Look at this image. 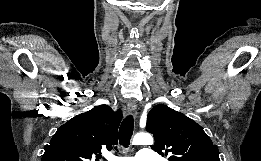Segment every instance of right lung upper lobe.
<instances>
[{
    "instance_id": "obj_1",
    "label": "right lung upper lobe",
    "mask_w": 261,
    "mask_h": 161,
    "mask_svg": "<svg viewBox=\"0 0 261 161\" xmlns=\"http://www.w3.org/2000/svg\"><path fill=\"white\" fill-rule=\"evenodd\" d=\"M122 112L99 105L59 127L41 161H98L101 148L117 144Z\"/></svg>"
}]
</instances>
